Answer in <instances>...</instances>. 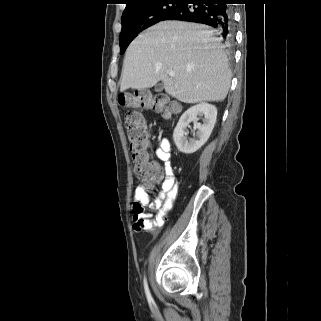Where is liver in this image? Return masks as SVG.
<instances>
[{"label": "liver", "instance_id": "liver-1", "mask_svg": "<svg viewBox=\"0 0 321 321\" xmlns=\"http://www.w3.org/2000/svg\"><path fill=\"white\" fill-rule=\"evenodd\" d=\"M223 48L204 25L159 22L128 47L120 91L151 88L162 81L166 93L184 103L223 101L231 81Z\"/></svg>", "mask_w": 321, "mask_h": 321}]
</instances>
